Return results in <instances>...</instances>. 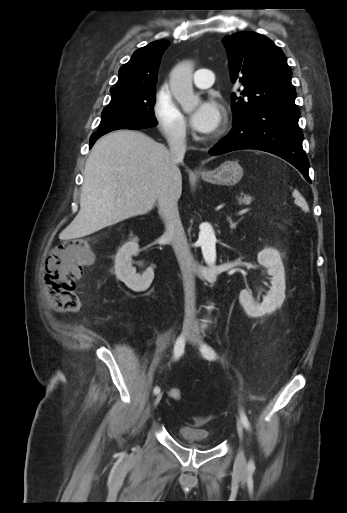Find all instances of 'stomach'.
Returning a JSON list of instances; mask_svg holds the SVG:
<instances>
[{"mask_svg": "<svg viewBox=\"0 0 347 513\" xmlns=\"http://www.w3.org/2000/svg\"><path fill=\"white\" fill-rule=\"evenodd\" d=\"M243 176V168L236 160H227L215 170L202 175V179L212 184L233 186Z\"/></svg>", "mask_w": 347, "mask_h": 513, "instance_id": "obj_1", "label": "stomach"}]
</instances>
